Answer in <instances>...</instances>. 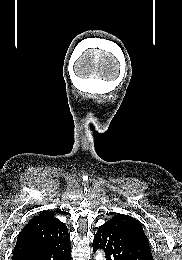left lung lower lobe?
<instances>
[{
  "instance_id": "left-lung-lower-lobe-1",
  "label": "left lung lower lobe",
  "mask_w": 182,
  "mask_h": 260,
  "mask_svg": "<svg viewBox=\"0 0 182 260\" xmlns=\"http://www.w3.org/2000/svg\"><path fill=\"white\" fill-rule=\"evenodd\" d=\"M103 249L106 260H153L148 243L117 229L101 226L93 240V250Z\"/></svg>"
}]
</instances>
